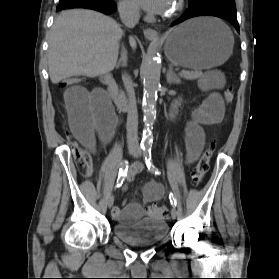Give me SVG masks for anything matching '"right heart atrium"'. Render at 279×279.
<instances>
[{
    "mask_svg": "<svg viewBox=\"0 0 279 279\" xmlns=\"http://www.w3.org/2000/svg\"><path fill=\"white\" fill-rule=\"evenodd\" d=\"M121 13L126 17H135L138 9L132 0H121L119 3Z\"/></svg>",
    "mask_w": 279,
    "mask_h": 279,
    "instance_id": "obj_1",
    "label": "right heart atrium"
}]
</instances>
